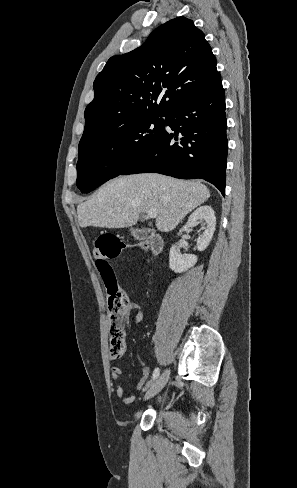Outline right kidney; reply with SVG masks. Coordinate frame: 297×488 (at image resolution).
Wrapping results in <instances>:
<instances>
[{"label":"right kidney","mask_w":297,"mask_h":488,"mask_svg":"<svg viewBox=\"0 0 297 488\" xmlns=\"http://www.w3.org/2000/svg\"><path fill=\"white\" fill-rule=\"evenodd\" d=\"M198 220H204L206 227L197 238V250L204 251L210 244L216 226V217L211 206H201L189 216L186 224L180 229L178 236L184 231H192ZM197 262V256L193 254H181L174 244L170 249L169 267L176 273H182L193 267Z\"/></svg>","instance_id":"obj_1"}]
</instances>
